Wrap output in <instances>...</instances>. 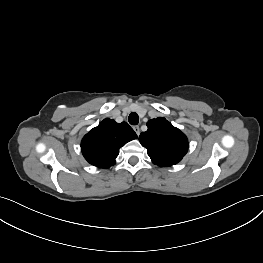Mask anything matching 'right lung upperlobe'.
Segmentation results:
<instances>
[{
  "mask_svg": "<svg viewBox=\"0 0 263 263\" xmlns=\"http://www.w3.org/2000/svg\"><path fill=\"white\" fill-rule=\"evenodd\" d=\"M136 138V133L126 122L116 123L106 118L84 136L81 150L90 164L109 168L115 164L120 147Z\"/></svg>",
  "mask_w": 263,
  "mask_h": 263,
  "instance_id": "obj_1",
  "label": "right lung upper lobe"
}]
</instances>
